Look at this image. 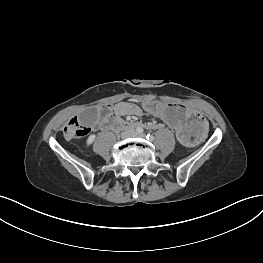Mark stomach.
Returning <instances> with one entry per match:
<instances>
[{
    "label": "stomach",
    "mask_w": 263,
    "mask_h": 263,
    "mask_svg": "<svg viewBox=\"0 0 263 263\" xmlns=\"http://www.w3.org/2000/svg\"><path fill=\"white\" fill-rule=\"evenodd\" d=\"M143 112L171 127L172 134L189 150L204 143L211 133V126L202 112L190 111L178 103L157 104L155 101H147L143 105Z\"/></svg>",
    "instance_id": "1"
}]
</instances>
